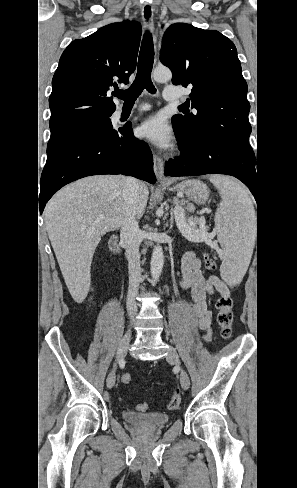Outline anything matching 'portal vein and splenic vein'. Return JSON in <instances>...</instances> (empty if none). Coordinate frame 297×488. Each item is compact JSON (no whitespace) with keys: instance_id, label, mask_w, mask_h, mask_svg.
Wrapping results in <instances>:
<instances>
[{"instance_id":"portal-vein-and-splenic-vein-1","label":"portal vein and splenic vein","mask_w":297,"mask_h":488,"mask_svg":"<svg viewBox=\"0 0 297 488\" xmlns=\"http://www.w3.org/2000/svg\"><path fill=\"white\" fill-rule=\"evenodd\" d=\"M175 208H176L175 220H176L177 225L180 228L188 229L189 231H191L193 233L198 232V231H195L194 229L190 228V226L188 225V224H192V220H191V218H188V219L185 218L184 209L179 204H176ZM208 212H210V211H208ZM199 214H201V212ZM103 218H104V215H99L97 217L96 221H100ZM200 219L202 220V217Z\"/></svg>"}]
</instances>
